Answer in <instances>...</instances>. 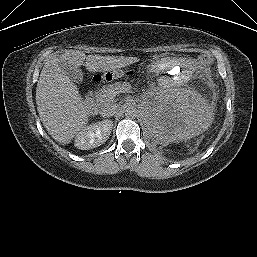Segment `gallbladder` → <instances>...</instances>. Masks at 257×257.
Returning a JSON list of instances; mask_svg holds the SVG:
<instances>
[{
    "label": "gallbladder",
    "instance_id": "obj_1",
    "mask_svg": "<svg viewBox=\"0 0 257 257\" xmlns=\"http://www.w3.org/2000/svg\"><path fill=\"white\" fill-rule=\"evenodd\" d=\"M58 60L62 71L65 75L75 83H81L83 80V73L80 68L68 64L61 55H58Z\"/></svg>",
    "mask_w": 257,
    "mask_h": 257
}]
</instances>
